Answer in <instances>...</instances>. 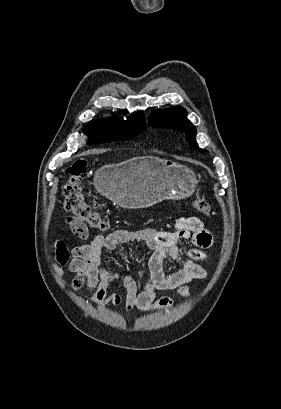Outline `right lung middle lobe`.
I'll return each instance as SVG.
<instances>
[{"mask_svg":"<svg viewBox=\"0 0 281 409\" xmlns=\"http://www.w3.org/2000/svg\"><path fill=\"white\" fill-rule=\"evenodd\" d=\"M146 125L123 127V128H98L85 127L84 133L88 135V144H99L119 140H130L140 134Z\"/></svg>","mask_w":281,"mask_h":409,"instance_id":"dd1d6c3e","label":"right lung middle lobe"}]
</instances>
